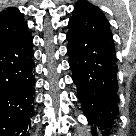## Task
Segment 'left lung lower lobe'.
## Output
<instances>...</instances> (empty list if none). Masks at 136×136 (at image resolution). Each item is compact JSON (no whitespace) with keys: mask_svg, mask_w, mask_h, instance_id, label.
I'll return each mask as SVG.
<instances>
[{"mask_svg":"<svg viewBox=\"0 0 136 136\" xmlns=\"http://www.w3.org/2000/svg\"><path fill=\"white\" fill-rule=\"evenodd\" d=\"M67 52L73 81L91 124L105 136L116 119L117 77L109 23L98 9H85L69 20ZM96 127L92 133L97 136Z\"/></svg>","mask_w":136,"mask_h":136,"instance_id":"1","label":"left lung lower lobe"}]
</instances>
